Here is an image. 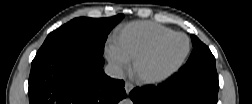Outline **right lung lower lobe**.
Wrapping results in <instances>:
<instances>
[{
    "label": "right lung lower lobe",
    "mask_w": 252,
    "mask_h": 104,
    "mask_svg": "<svg viewBox=\"0 0 252 104\" xmlns=\"http://www.w3.org/2000/svg\"><path fill=\"white\" fill-rule=\"evenodd\" d=\"M102 55L80 48L35 56L29 76L30 104H117L123 80L108 77Z\"/></svg>",
    "instance_id": "obj_1"
}]
</instances>
